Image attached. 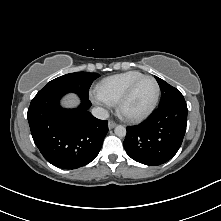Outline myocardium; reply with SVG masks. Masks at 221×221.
I'll return each instance as SVG.
<instances>
[{
  "mask_svg": "<svg viewBox=\"0 0 221 221\" xmlns=\"http://www.w3.org/2000/svg\"><path fill=\"white\" fill-rule=\"evenodd\" d=\"M145 79H150L154 82L155 86H156V94L155 97L151 103V105L143 112L138 113V114H129L128 112H126L125 110V106L127 104V102L129 101V99L131 98L135 88L138 86V84L140 82H142ZM160 98V86L158 81L150 75H143L142 77L138 78L137 80H135L128 88L127 90L123 93V95L121 96V98L119 99V101L117 102V109L119 114L127 121L130 122H139L144 120L145 118H147L149 115H151V113L155 110L158 101Z\"/></svg>",
  "mask_w": 221,
  "mask_h": 221,
  "instance_id": "f54148a6",
  "label": "myocardium"
}]
</instances>
